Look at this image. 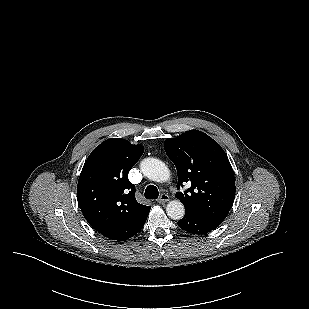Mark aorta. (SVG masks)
<instances>
[{
  "label": "aorta",
  "instance_id": "aorta-1",
  "mask_svg": "<svg viewBox=\"0 0 309 309\" xmlns=\"http://www.w3.org/2000/svg\"><path fill=\"white\" fill-rule=\"evenodd\" d=\"M140 168L144 176L155 182H166L170 178L168 167L159 159L145 158L141 161ZM167 215L173 220H180L185 215V207L179 200L170 201L166 207Z\"/></svg>",
  "mask_w": 309,
  "mask_h": 309
}]
</instances>
